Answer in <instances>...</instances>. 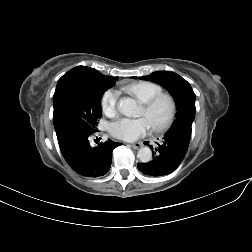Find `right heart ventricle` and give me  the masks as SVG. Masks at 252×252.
<instances>
[{"instance_id": "e07e8e85", "label": "right heart ventricle", "mask_w": 252, "mask_h": 252, "mask_svg": "<svg viewBox=\"0 0 252 252\" xmlns=\"http://www.w3.org/2000/svg\"><path fill=\"white\" fill-rule=\"evenodd\" d=\"M123 90L134 96L141 103L149 101L163 92V88L153 82L141 81L123 87Z\"/></svg>"}]
</instances>
